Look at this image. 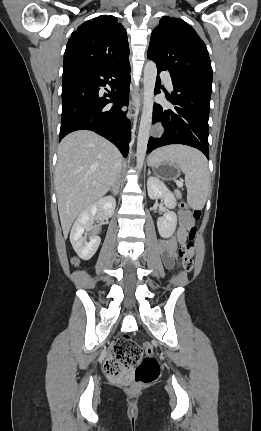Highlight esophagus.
Listing matches in <instances>:
<instances>
[{"label":"esophagus","instance_id":"esophagus-1","mask_svg":"<svg viewBox=\"0 0 261 431\" xmlns=\"http://www.w3.org/2000/svg\"><path fill=\"white\" fill-rule=\"evenodd\" d=\"M132 98H133V102L131 103V106H130V109H129V112H128V116L132 115V111H133V107L134 106L137 107L136 113L138 112V101L141 98V96H139L137 99L134 96H132Z\"/></svg>","mask_w":261,"mask_h":431}]
</instances>
